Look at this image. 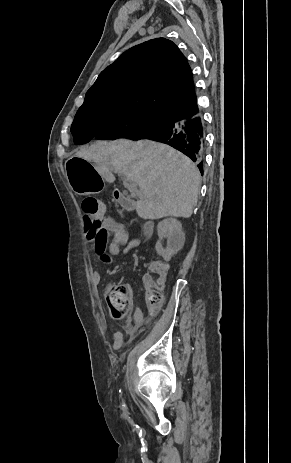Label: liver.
<instances>
[{
	"instance_id": "6515ba94",
	"label": "liver",
	"mask_w": 291,
	"mask_h": 463,
	"mask_svg": "<svg viewBox=\"0 0 291 463\" xmlns=\"http://www.w3.org/2000/svg\"><path fill=\"white\" fill-rule=\"evenodd\" d=\"M75 156L93 162L108 183L112 169L140 189L136 212L142 219L166 216L189 218L198 200L200 173L195 164L172 147L151 140L97 141Z\"/></svg>"
}]
</instances>
